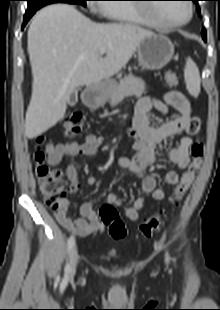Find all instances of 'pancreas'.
<instances>
[{"label":"pancreas","instance_id":"obj_1","mask_svg":"<svg viewBox=\"0 0 220 310\" xmlns=\"http://www.w3.org/2000/svg\"><path fill=\"white\" fill-rule=\"evenodd\" d=\"M143 93H145L144 81L141 78L128 75L124 79H121L120 82L111 90L109 94L110 105L116 106L125 97L141 96Z\"/></svg>","mask_w":220,"mask_h":310}]
</instances>
